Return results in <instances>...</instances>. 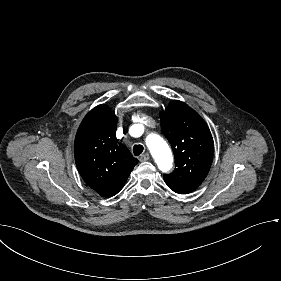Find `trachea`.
Returning <instances> with one entry per match:
<instances>
[{
  "mask_svg": "<svg viewBox=\"0 0 281 281\" xmlns=\"http://www.w3.org/2000/svg\"><path fill=\"white\" fill-rule=\"evenodd\" d=\"M144 150V147L142 145H134L133 147V153L135 156H139Z\"/></svg>",
  "mask_w": 281,
  "mask_h": 281,
  "instance_id": "3493384b",
  "label": "trachea"
}]
</instances>
